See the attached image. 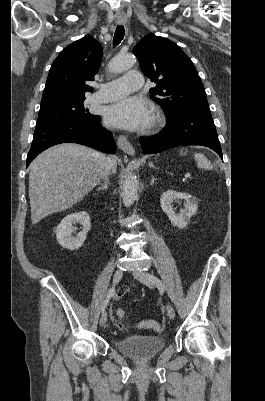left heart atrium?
<instances>
[{"instance_id":"left-heart-atrium-1","label":"left heart atrium","mask_w":265,"mask_h":401,"mask_svg":"<svg viewBox=\"0 0 265 401\" xmlns=\"http://www.w3.org/2000/svg\"><path fill=\"white\" fill-rule=\"evenodd\" d=\"M151 115V105L137 97H125L124 101H114L105 109V120L108 124L131 130L146 126Z\"/></svg>"}]
</instances>
